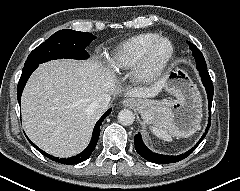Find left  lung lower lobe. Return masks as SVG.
<instances>
[{
    "mask_svg": "<svg viewBox=\"0 0 240 191\" xmlns=\"http://www.w3.org/2000/svg\"><path fill=\"white\" fill-rule=\"evenodd\" d=\"M197 69L199 71V74L201 76L202 82L206 88V92L208 95L209 121L205 130V133L203 134L201 139L198 141V143L195 145V147L185 152L184 154L177 155V156H168V155L153 153L144 145L141 139V135L138 134L134 138V145L137 153L140 154L144 159L153 163H158V164H168V163H175V162L181 161L184 158H186L188 155H190L193 152V150L201 143L203 138L206 136L211 124V104L213 100V84H212L210 75L207 71V66L203 67V66L197 65Z\"/></svg>",
    "mask_w": 240,
    "mask_h": 191,
    "instance_id": "obj_1",
    "label": "left lung lower lobe"
}]
</instances>
